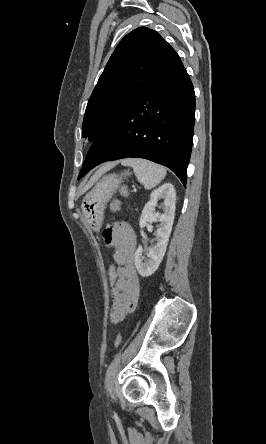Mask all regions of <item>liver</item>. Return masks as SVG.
Instances as JSON below:
<instances>
[{
    "mask_svg": "<svg viewBox=\"0 0 266 444\" xmlns=\"http://www.w3.org/2000/svg\"><path fill=\"white\" fill-rule=\"evenodd\" d=\"M117 162H111L103 165L90 179V181L86 184L82 192L88 190L105 172L113 168Z\"/></svg>",
    "mask_w": 266,
    "mask_h": 444,
    "instance_id": "1",
    "label": "liver"
}]
</instances>
